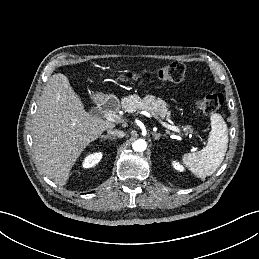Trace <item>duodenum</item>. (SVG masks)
<instances>
[{
    "mask_svg": "<svg viewBox=\"0 0 259 259\" xmlns=\"http://www.w3.org/2000/svg\"><path fill=\"white\" fill-rule=\"evenodd\" d=\"M97 105L99 110L101 111L113 112L118 106V101L114 97L110 96V97L101 99Z\"/></svg>",
    "mask_w": 259,
    "mask_h": 259,
    "instance_id": "obj_1",
    "label": "duodenum"
}]
</instances>
